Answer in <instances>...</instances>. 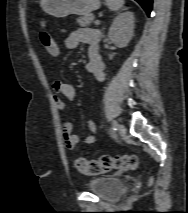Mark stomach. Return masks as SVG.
I'll return each mask as SVG.
<instances>
[{"label": "stomach", "instance_id": "1", "mask_svg": "<svg viewBox=\"0 0 188 213\" xmlns=\"http://www.w3.org/2000/svg\"><path fill=\"white\" fill-rule=\"evenodd\" d=\"M100 0H40L41 9L49 15L63 18L70 14L89 15L98 9Z\"/></svg>", "mask_w": 188, "mask_h": 213}]
</instances>
